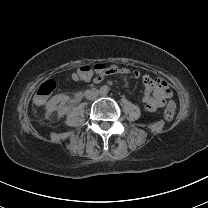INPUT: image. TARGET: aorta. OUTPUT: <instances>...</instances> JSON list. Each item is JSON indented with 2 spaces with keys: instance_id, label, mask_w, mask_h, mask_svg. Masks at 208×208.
Listing matches in <instances>:
<instances>
[{
  "instance_id": "aorta-1",
  "label": "aorta",
  "mask_w": 208,
  "mask_h": 208,
  "mask_svg": "<svg viewBox=\"0 0 208 208\" xmlns=\"http://www.w3.org/2000/svg\"><path fill=\"white\" fill-rule=\"evenodd\" d=\"M109 92H110V89H109V87L107 85H105V84L100 85V87H99V94L101 96H106V95L109 94Z\"/></svg>"
}]
</instances>
